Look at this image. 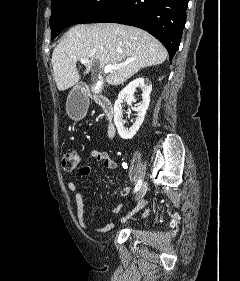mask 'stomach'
<instances>
[{"label": "stomach", "mask_w": 240, "mask_h": 281, "mask_svg": "<svg viewBox=\"0 0 240 281\" xmlns=\"http://www.w3.org/2000/svg\"><path fill=\"white\" fill-rule=\"evenodd\" d=\"M74 92L75 89H73L69 94L66 110L71 118L78 119L83 115V110L81 109L79 104L74 101Z\"/></svg>", "instance_id": "0dacf381"}]
</instances>
